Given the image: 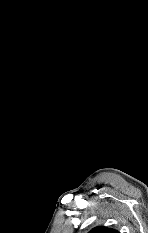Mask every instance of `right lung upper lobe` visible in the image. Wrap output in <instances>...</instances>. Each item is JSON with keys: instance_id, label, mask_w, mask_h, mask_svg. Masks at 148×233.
<instances>
[{"instance_id": "cb5924a9", "label": "right lung upper lobe", "mask_w": 148, "mask_h": 233, "mask_svg": "<svg viewBox=\"0 0 148 233\" xmlns=\"http://www.w3.org/2000/svg\"><path fill=\"white\" fill-rule=\"evenodd\" d=\"M89 233H119V232L107 227H96L93 228Z\"/></svg>"}]
</instances>
